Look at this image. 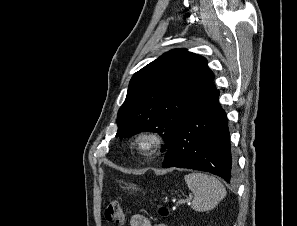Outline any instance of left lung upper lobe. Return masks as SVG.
I'll return each mask as SVG.
<instances>
[{"label": "left lung upper lobe", "mask_w": 297, "mask_h": 226, "mask_svg": "<svg viewBox=\"0 0 297 226\" xmlns=\"http://www.w3.org/2000/svg\"><path fill=\"white\" fill-rule=\"evenodd\" d=\"M213 79L204 57L180 49L165 53L133 75L118 111L116 136L158 132L166 152L183 120L216 89Z\"/></svg>", "instance_id": "5c2ea615"}]
</instances>
